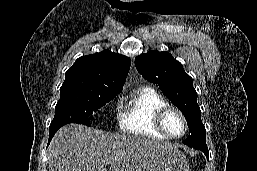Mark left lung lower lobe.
<instances>
[{
    "instance_id": "obj_1",
    "label": "left lung lower lobe",
    "mask_w": 257,
    "mask_h": 171,
    "mask_svg": "<svg viewBox=\"0 0 257 171\" xmlns=\"http://www.w3.org/2000/svg\"><path fill=\"white\" fill-rule=\"evenodd\" d=\"M194 148L202 151L206 155L207 159H209V151H208L207 146H196Z\"/></svg>"
}]
</instances>
